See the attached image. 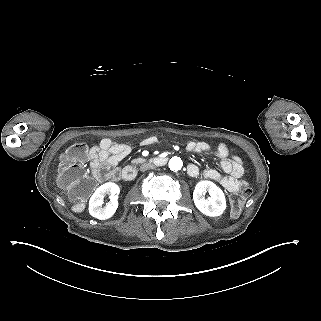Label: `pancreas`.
Listing matches in <instances>:
<instances>
[{
  "mask_svg": "<svg viewBox=\"0 0 321 321\" xmlns=\"http://www.w3.org/2000/svg\"><path fill=\"white\" fill-rule=\"evenodd\" d=\"M142 162H145L144 158H138V159L132 160V163H142Z\"/></svg>",
  "mask_w": 321,
  "mask_h": 321,
  "instance_id": "pancreas-1",
  "label": "pancreas"
}]
</instances>
